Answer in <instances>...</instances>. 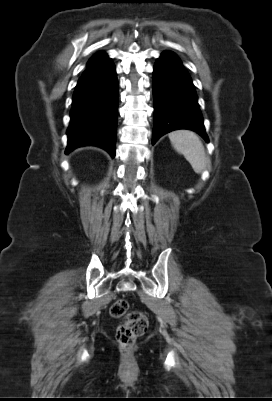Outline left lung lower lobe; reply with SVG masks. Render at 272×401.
Wrapping results in <instances>:
<instances>
[{"mask_svg": "<svg viewBox=\"0 0 272 401\" xmlns=\"http://www.w3.org/2000/svg\"><path fill=\"white\" fill-rule=\"evenodd\" d=\"M154 128L152 144L177 129L197 132L208 142L192 80L177 55L165 51L153 72Z\"/></svg>", "mask_w": 272, "mask_h": 401, "instance_id": "left-lung-lower-lobe-1", "label": "left lung lower lobe"}]
</instances>
